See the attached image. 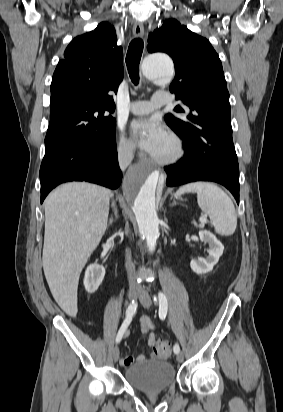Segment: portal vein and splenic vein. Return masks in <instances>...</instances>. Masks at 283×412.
I'll use <instances>...</instances> for the list:
<instances>
[{
  "mask_svg": "<svg viewBox=\"0 0 283 412\" xmlns=\"http://www.w3.org/2000/svg\"><path fill=\"white\" fill-rule=\"evenodd\" d=\"M206 222H207V217H205V216L200 217V223H201V225H204Z\"/></svg>",
  "mask_w": 283,
  "mask_h": 412,
  "instance_id": "portal-vein-and-splenic-vein-1",
  "label": "portal vein and splenic vein"
}]
</instances>
